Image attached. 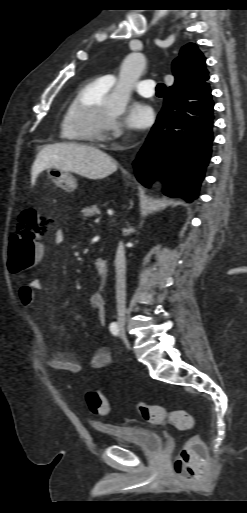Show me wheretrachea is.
Here are the masks:
<instances>
[{"label": "trachea", "mask_w": 247, "mask_h": 513, "mask_svg": "<svg viewBox=\"0 0 247 513\" xmlns=\"http://www.w3.org/2000/svg\"><path fill=\"white\" fill-rule=\"evenodd\" d=\"M165 90V85L163 83H159L156 87V91L158 95H163Z\"/></svg>", "instance_id": "trachea-1"}]
</instances>
